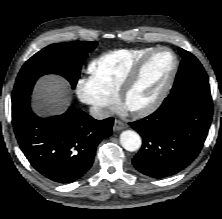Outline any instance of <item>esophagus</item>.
I'll list each match as a JSON object with an SVG mask.
<instances>
[{
  "label": "esophagus",
  "instance_id": "obj_1",
  "mask_svg": "<svg viewBox=\"0 0 222 219\" xmlns=\"http://www.w3.org/2000/svg\"><path fill=\"white\" fill-rule=\"evenodd\" d=\"M124 128H126V125L122 121H120L118 119H115L114 125H113V130L114 131H120Z\"/></svg>",
  "mask_w": 222,
  "mask_h": 219
}]
</instances>
